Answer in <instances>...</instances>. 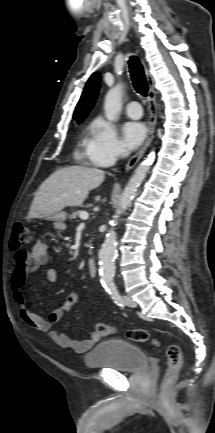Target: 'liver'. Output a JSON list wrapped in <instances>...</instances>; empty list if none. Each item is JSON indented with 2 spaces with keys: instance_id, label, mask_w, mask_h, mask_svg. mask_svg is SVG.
<instances>
[{
  "instance_id": "1",
  "label": "liver",
  "mask_w": 215,
  "mask_h": 433,
  "mask_svg": "<svg viewBox=\"0 0 215 433\" xmlns=\"http://www.w3.org/2000/svg\"><path fill=\"white\" fill-rule=\"evenodd\" d=\"M101 169L74 165L56 170L39 187L29 218L49 217L66 206H80L90 190L104 181Z\"/></svg>"
}]
</instances>
